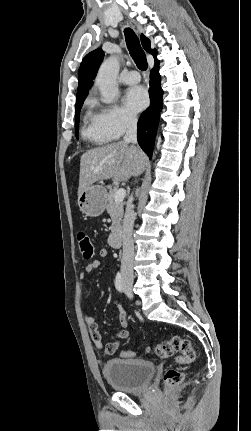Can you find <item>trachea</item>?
Returning <instances> with one entry per match:
<instances>
[{
    "mask_svg": "<svg viewBox=\"0 0 251 431\" xmlns=\"http://www.w3.org/2000/svg\"><path fill=\"white\" fill-rule=\"evenodd\" d=\"M126 45L131 57L133 58L137 67L145 71L147 69V60L144 50L142 49L139 39L130 28L124 30Z\"/></svg>",
    "mask_w": 251,
    "mask_h": 431,
    "instance_id": "3493384b",
    "label": "trachea"
}]
</instances>
